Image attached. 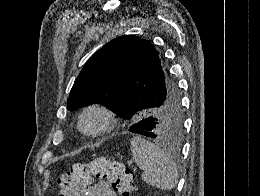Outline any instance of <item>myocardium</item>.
<instances>
[{"mask_svg":"<svg viewBox=\"0 0 260 196\" xmlns=\"http://www.w3.org/2000/svg\"><path fill=\"white\" fill-rule=\"evenodd\" d=\"M90 112H98L102 115V124L93 131L86 130L82 126V121L84 117ZM115 122V113L110 108L102 104H90L86 106L80 113V123L78 126V130L82 135L87 138L98 139L107 134L114 127Z\"/></svg>","mask_w":260,"mask_h":196,"instance_id":"1","label":"myocardium"}]
</instances>
